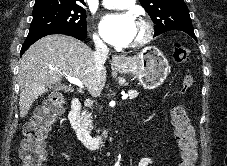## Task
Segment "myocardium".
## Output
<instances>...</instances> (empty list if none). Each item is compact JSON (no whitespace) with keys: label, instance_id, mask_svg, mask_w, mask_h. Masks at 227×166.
<instances>
[{"label":"myocardium","instance_id":"obj_1","mask_svg":"<svg viewBox=\"0 0 227 166\" xmlns=\"http://www.w3.org/2000/svg\"><path fill=\"white\" fill-rule=\"evenodd\" d=\"M138 23L141 26L142 34L139 39L131 44V47L134 48L146 45L152 39L154 34L153 26L149 21L141 17L139 18Z\"/></svg>","mask_w":227,"mask_h":166}]
</instances>
